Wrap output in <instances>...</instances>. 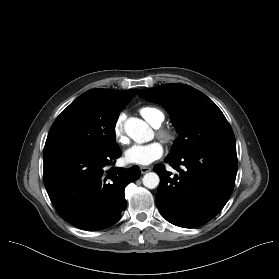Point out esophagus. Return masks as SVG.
Listing matches in <instances>:
<instances>
[{
	"instance_id": "1",
	"label": "esophagus",
	"mask_w": 279,
	"mask_h": 279,
	"mask_svg": "<svg viewBox=\"0 0 279 279\" xmlns=\"http://www.w3.org/2000/svg\"><path fill=\"white\" fill-rule=\"evenodd\" d=\"M140 171H141L142 174H145V173L151 171V168L150 167H146V166H141L140 167Z\"/></svg>"
}]
</instances>
